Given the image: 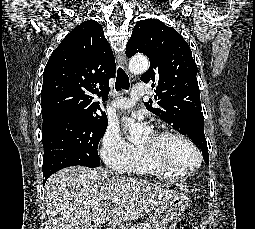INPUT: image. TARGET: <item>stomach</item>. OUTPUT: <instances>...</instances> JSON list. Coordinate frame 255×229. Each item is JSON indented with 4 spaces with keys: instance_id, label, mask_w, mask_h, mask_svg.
I'll return each mask as SVG.
<instances>
[{
    "instance_id": "obj_1",
    "label": "stomach",
    "mask_w": 255,
    "mask_h": 229,
    "mask_svg": "<svg viewBox=\"0 0 255 229\" xmlns=\"http://www.w3.org/2000/svg\"><path fill=\"white\" fill-rule=\"evenodd\" d=\"M190 196L185 192L174 194L161 206L157 207L150 219L153 229H171L170 225L189 207Z\"/></svg>"
}]
</instances>
